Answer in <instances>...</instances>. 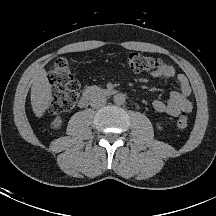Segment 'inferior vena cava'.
<instances>
[{
  "label": "inferior vena cava",
  "mask_w": 216,
  "mask_h": 216,
  "mask_svg": "<svg viewBox=\"0 0 216 216\" xmlns=\"http://www.w3.org/2000/svg\"><path fill=\"white\" fill-rule=\"evenodd\" d=\"M105 104H106V98L101 94H95L90 98V106L93 108H100Z\"/></svg>",
  "instance_id": "602c4592"
}]
</instances>
